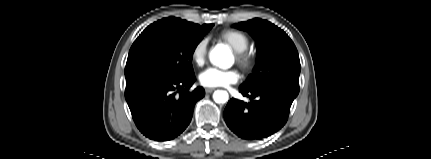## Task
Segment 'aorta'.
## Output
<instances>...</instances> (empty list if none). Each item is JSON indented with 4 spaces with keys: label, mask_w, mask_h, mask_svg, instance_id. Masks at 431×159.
<instances>
[{
    "label": "aorta",
    "mask_w": 431,
    "mask_h": 159,
    "mask_svg": "<svg viewBox=\"0 0 431 159\" xmlns=\"http://www.w3.org/2000/svg\"><path fill=\"white\" fill-rule=\"evenodd\" d=\"M231 57L230 50L223 46L217 45L209 53L210 62L220 68H226L229 65V60ZM229 95L226 91L217 90L213 94V99L216 103H226L228 101Z\"/></svg>",
    "instance_id": "762f6f07"
}]
</instances>
